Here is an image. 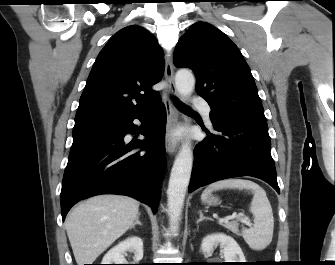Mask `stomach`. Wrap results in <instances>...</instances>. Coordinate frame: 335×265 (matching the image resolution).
Instances as JSON below:
<instances>
[{
  "instance_id": "1",
  "label": "stomach",
  "mask_w": 335,
  "mask_h": 265,
  "mask_svg": "<svg viewBox=\"0 0 335 265\" xmlns=\"http://www.w3.org/2000/svg\"><path fill=\"white\" fill-rule=\"evenodd\" d=\"M218 201H219V200H218L216 197L212 196V195H209V196L207 197V199L205 200V202H206L207 204H210V205H212V204H217Z\"/></svg>"
}]
</instances>
